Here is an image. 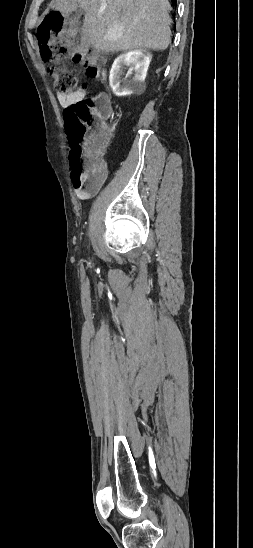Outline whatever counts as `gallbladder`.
Wrapping results in <instances>:
<instances>
[{"mask_svg": "<svg viewBox=\"0 0 253 548\" xmlns=\"http://www.w3.org/2000/svg\"><path fill=\"white\" fill-rule=\"evenodd\" d=\"M81 13H82L81 11H78V12H76V15H80Z\"/></svg>", "mask_w": 253, "mask_h": 548, "instance_id": "bac80fb5", "label": "gallbladder"}]
</instances>
